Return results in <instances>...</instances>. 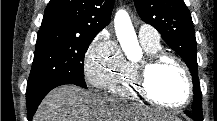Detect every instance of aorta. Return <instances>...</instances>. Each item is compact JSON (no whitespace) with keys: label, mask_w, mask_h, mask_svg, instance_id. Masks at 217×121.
<instances>
[{"label":"aorta","mask_w":217,"mask_h":121,"mask_svg":"<svg viewBox=\"0 0 217 121\" xmlns=\"http://www.w3.org/2000/svg\"><path fill=\"white\" fill-rule=\"evenodd\" d=\"M114 27L117 39L128 59L138 57L141 48L132 25L129 14L125 10H118L114 18Z\"/></svg>","instance_id":"1"}]
</instances>
